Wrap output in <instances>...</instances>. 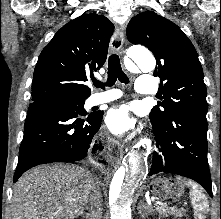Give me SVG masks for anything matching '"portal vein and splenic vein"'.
<instances>
[{
  "instance_id": "18ae733b",
  "label": "portal vein and splenic vein",
  "mask_w": 221,
  "mask_h": 219,
  "mask_svg": "<svg viewBox=\"0 0 221 219\" xmlns=\"http://www.w3.org/2000/svg\"><path fill=\"white\" fill-rule=\"evenodd\" d=\"M156 204H159V205H164L163 203H159V202H157Z\"/></svg>"
}]
</instances>
